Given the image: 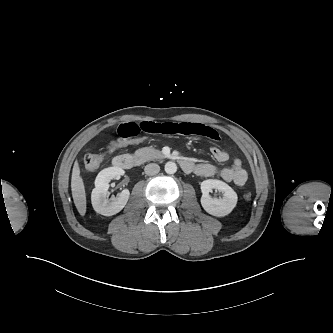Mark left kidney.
<instances>
[{"mask_svg":"<svg viewBox=\"0 0 333 333\" xmlns=\"http://www.w3.org/2000/svg\"><path fill=\"white\" fill-rule=\"evenodd\" d=\"M212 189H217L223 197L212 198L209 193ZM201 205L203 209L216 217H224L231 213L237 204L236 192L225 182L215 179H208L201 183Z\"/></svg>","mask_w":333,"mask_h":333,"instance_id":"5707ae66","label":"left kidney"}]
</instances>
